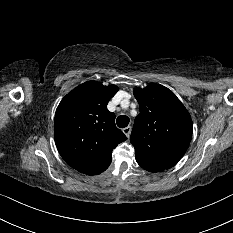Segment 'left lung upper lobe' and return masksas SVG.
Segmentation results:
<instances>
[{
	"mask_svg": "<svg viewBox=\"0 0 233 233\" xmlns=\"http://www.w3.org/2000/svg\"><path fill=\"white\" fill-rule=\"evenodd\" d=\"M134 96L140 106L130 136L136 159L164 170L173 167L191 141L189 112L171 90L160 84L135 88Z\"/></svg>",
	"mask_w": 233,
	"mask_h": 233,
	"instance_id": "1",
	"label": "left lung upper lobe"
}]
</instances>
